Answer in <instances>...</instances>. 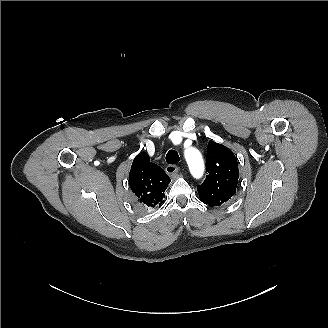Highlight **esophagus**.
Returning <instances> with one entry per match:
<instances>
[{
    "mask_svg": "<svg viewBox=\"0 0 328 328\" xmlns=\"http://www.w3.org/2000/svg\"><path fill=\"white\" fill-rule=\"evenodd\" d=\"M165 171L168 175H170L171 177L175 176L178 172H179V167L176 165H168L165 168Z\"/></svg>",
    "mask_w": 328,
    "mask_h": 328,
    "instance_id": "34e87169",
    "label": "esophagus"
}]
</instances>
